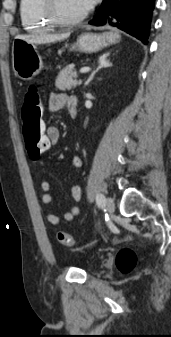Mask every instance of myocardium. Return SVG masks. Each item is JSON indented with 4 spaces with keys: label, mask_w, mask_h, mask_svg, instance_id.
Returning a JSON list of instances; mask_svg holds the SVG:
<instances>
[{
    "label": "myocardium",
    "mask_w": 171,
    "mask_h": 337,
    "mask_svg": "<svg viewBox=\"0 0 171 337\" xmlns=\"http://www.w3.org/2000/svg\"><path fill=\"white\" fill-rule=\"evenodd\" d=\"M43 7L48 19L55 25L70 26L75 25L84 20L89 10H85L75 17H64L58 9V0H43Z\"/></svg>",
    "instance_id": "obj_1"
}]
</instances>
